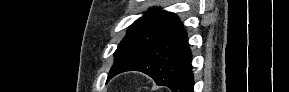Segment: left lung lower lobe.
<instances>
[{
    "label": "left lung lower lobe",
    "mask_w": 289,
    "mask_h": 92,
    "mask_svg": "<svg viewBox=\"0 0 289 92\" xmlns=\"http://www.w3.org/2000/svg\"><path fill=\"white\" fill-rule=\"evenodd\" d=\"M191 61L187 33L179 21L125 67L110 74L108 80L121 72L135 70L149 75L157 85L167 86L172 92H193Z\"/></svg>",
    "instance_id": "left-lung-lower-lobe-1"
}]
</instances>
